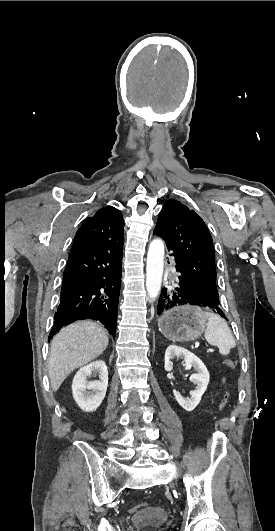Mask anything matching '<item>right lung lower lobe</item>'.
Listing matches in <instances>:
<instances>
[{"label":"right lung lower lobe","instance_id":"obj_1","mask_svg":"<svg viewBox=\"0 0 275 531\" xmlns=\"http://www.w3.org/2000/svg\"><path fill=\"white\" fill-rule=\"evenodd\" d=\"M122 245L123 241L103 240L70 252L49 340L61 327L83 319L99 320L115 336Z\"/></svg>","mask_w":275,"mask_h":531}]
</instances>
